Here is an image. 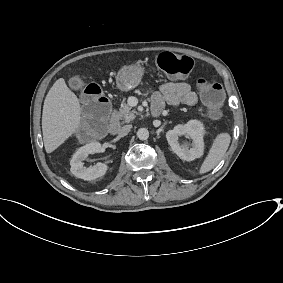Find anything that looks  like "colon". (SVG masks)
Segmentation results:
<instances>
[{
    "label": "colon",
    "mask_w": 283,
    "mask_h": 283,
    "mask_svg": "<svg viewBox=\"0 0 283 283\" xmlns=\"http://www.w3.org/2000/svg\"><path fill=\"white\" fill-rule=\"evenodd\" d=\"M159 70L172 77L188 75L194 68V61L184 55H175L169 52L161 53L156 59ZM200 97L212 118L221 114L225 99L222 85L215 79L200 78L197 81ZM84 109V118L79 126L78 133L84 139H89L100 133L105 127V120L110 112L108 99L101 88L94 83L85 84L81 94Z\"/></svg>",
    "instance_id": "colon-1"
}]
</instances>
